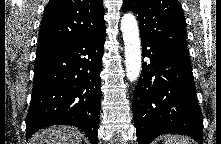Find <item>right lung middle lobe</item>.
I'll list each match as a JSON object with an SVG mask.
<instances>
[{"label": "right lung middle lobe", "instance_id": "dd1d6c3e", "mask_svg": "<svg viewBox=\"0 0 221 144\" xmlns=\"http://www.w3.org/2000/svg\"><path fill=\"white\" fill-rule=\"evenodd\" d=\"M48 56H36V61L47 58Z\"/></svg>", "mask_w": 221, "mask_h": 144}]
</instances>
